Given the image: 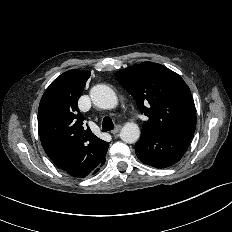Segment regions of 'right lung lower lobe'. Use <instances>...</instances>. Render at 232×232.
<instances>
[{"label":"right lung lower lobe","instance_id":"obj_1","mask_svg":"<svg viewBox=\"0 0 232 232\" xmlns=\"http://www.w3.org/2000/svg\"><path fill=\"white\" fill-rule=\"evenodd\" d=\"M104 163H105V159L100 163V165L97 167V168H95L91 173H96L98 170H99V167H101V166H103L104 165Z\"/></svg>","mask_w":232,"mask_h":232}]
</instances>
